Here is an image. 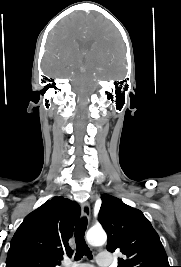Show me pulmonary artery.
<instances>
[{
  "instance_id": "pulmonary-artery-1",
  "label": "pulmonary artery",
  "mask_w": 181,
  "mask_h": 267,
  "mask_svg": "<svg viewBox=\"0 0 181 267\" xmlns=\"http://www.w3.org/2000/svg\"><path fill=\"white\" fill-rule=\"evenodd\" d=\"M112 263V259L106 255L104 252L100 253L97 257V264L100 267H110ZM67 267H93L88 263L81 264H67Z\"/></svg>"
}]
</instances>
